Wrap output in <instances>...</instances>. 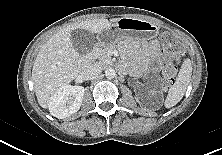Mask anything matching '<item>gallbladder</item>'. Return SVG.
<instances>
[{
  "label": "gallbladder",
  "mask_w": 222,
  "mask_h": 155,
  "mask_svg": "<svg viewBox=\"0 0 222 155\" xmlns=\"http://www.w3.org/2000/svg\"><path fill=\"white\" fill-rule=\"evenodd\" d=\"M70 38L74 49L80 54L90 52L95 44L93 35L84 29L73 30Z\"/></svg>",
  "instance_id": "1"
}]
</instances>
